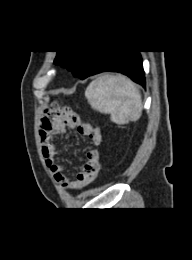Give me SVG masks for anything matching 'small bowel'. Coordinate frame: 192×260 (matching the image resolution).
<instances>
[{
	"instance_id": "obj_1",
	"label": "small bowel",
	"mask_w": 192,
	"mask_h": 260,
	"mask_svg": "<svg viewBox=\"0 0 192 260\" xmlns=\"http://www.w3.org/2000/svg\"><path fill=\"white\" fill-rule=\"evenodd\" d=\"M66 127L77 129L80 134L89 137L95 145L101 143L102 135L98 128L82 122L81 118L70 110H67L64 116L45 118L41 123L40 140L47 167L63 189L80 191L90 185L98 175L99 151L89 150L84 167L73 178L68 177L63 166L57 161V148L53 143V137L65 132Z\"/></svg>"
}]
</instances>
